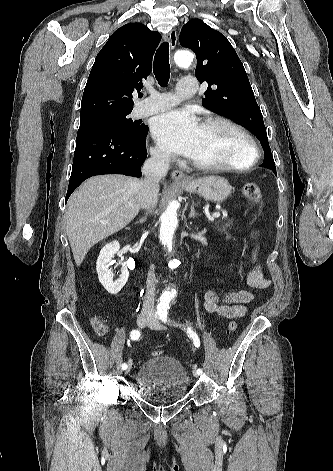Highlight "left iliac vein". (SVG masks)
<instances>
[{"label": "left iliac vein", "instance_id": "1", "mask_svg": "<svg viewBox=\"0 0 333 471\" xmlns=\"http://www.w3.org/2000/svg\"><path fill=\"white\" fill-rule=\"evenodd\" d=\"M149 326L153 329H163V326L160 324V322L154 318H151V321L149 322ZM193 375L195 377H198L199 374H197V372H193Z\"/></svg>", "mask_w": 333, "mask_h": 471}]
</instances>
